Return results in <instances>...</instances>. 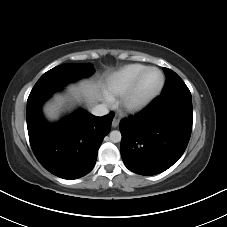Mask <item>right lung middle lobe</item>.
Returning a JSON list of instances; mask_svg holds the SVG:
<instances>
[{
  "label": "right lung middle lobe",
  "instance_id": "dd1d6c3e",
  "mask_svg": "<svg viewBox=\"0 0 227 227\" xmlns=\"http://www.w3.org/2000/svg\"><path fill=\"white\" fill-rule=\"evenodd\" d=\"M94 72L91 64H63L44 73L33 87L28 100L57 90L82 77H87Z\"/></svg>",
  "mask_w": 227,
  "mask_h": 227
}]
</instances>
